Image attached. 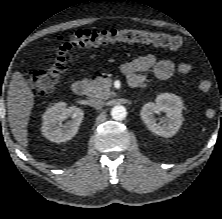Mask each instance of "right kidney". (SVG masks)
<instances>
[{"label": "right kidney", "instance_id": "obj_1", "mask_svg": "<svg viewBox=\"0 0 222 219\" xmlns=\"http://www.w3.org/2000/svg\"><path fill=\"white\" fill-rule=\"evenodd\" d=\"M83 117L82 109L76 106L67 107L65 102H58L47 108L43 114L42 134L52 142H66L76 135ZM69 118L71 120L63 124Z\"/></svg>", "mask_w": 222, "mask_h": 219}]
</instances>
